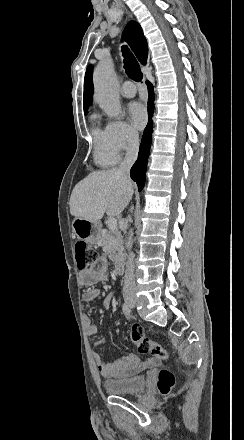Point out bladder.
Returning a JSON list of instances; mask_svg holds the SVG:
<instances>
[{"label": "bladder", "instance_id": "1", "mask_svg": "<svg viewBox=\"0 0 244 440\" xmlns=\"http://www.w3.org/2000/svg\"><path fill=\"white\" fill-rule=\"evenodd\" d=\"M104 386L108 393H133L145 388L144 377H133L123 381H107L104 382Z\"/></svg>", "mask_w": 244, "mask_h": 440}]
</instances>
